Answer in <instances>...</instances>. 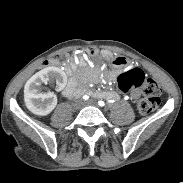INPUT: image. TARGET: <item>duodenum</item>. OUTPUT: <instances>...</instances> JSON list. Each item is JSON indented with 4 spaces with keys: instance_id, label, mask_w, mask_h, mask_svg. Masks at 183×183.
Wrapping results in <instances>:
<instances>
[{
    "instance_id": "obj_1",
    "label": "duodenum",
    "mask_w": 183,
    "mask_h": 183,
    "mask_svg": "<svg viewBox=\"0 0 183 183\" xmlns=\"http://www.w3.org/2000/svg\"><path fill=\"white\" fill-rule=\"evenodd\" d=\"M64 92L67 96L75 95L78 92L75 80H70L69 81V83L67 84Z\"/></svg>"
}]
</instances>
